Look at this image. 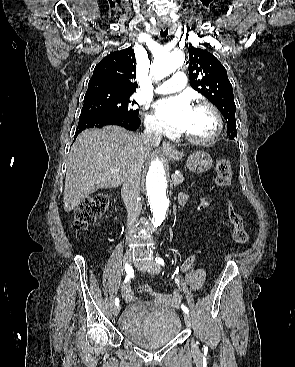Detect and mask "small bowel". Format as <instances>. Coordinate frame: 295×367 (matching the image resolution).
<instances>
[{
	"label": "small bowel",
	"instance_id": "small-bowel-1",
	"mask_svg": "<svg viewBox=\"0 0 295 367\" xmlns=\"http://www.w3.org/2000/svg\"><path fill=\"white\" fill-rule=\"evenodd\" d=\"M186 200V196L184 194L179 195V201L184 203ZM197 255L189 256L182 266V271L185 274L187 281L191 285V287L195 290H201L206 282V270L203 268H197ZM123 295L125 298L130 297V288L129 286H125L123 288Z\"/></svg>",
	"mask_w": 295,
	"mask_h": 367
}]
</instances>
